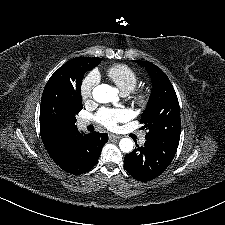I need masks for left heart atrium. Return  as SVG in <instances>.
Returning a JSON list of instances; mask_svg holds the SVG:
<instances>
[{"label":"left heart atrium","instance_id":"left-heart-atrium-1","mask_svg":"<svg viewBox=\"0 0 225 225\" xmlns=\"http://www.w3.org/2000/svg\"><path fill=\"white\" fill-rule=\"evenodd\" d=\"M129 117V112L126 109L103 108L97 114V121L110 130H116L119 123L127 121Z\"/></svg>","mask_w":225,"mask_h":225}]
</instances>
